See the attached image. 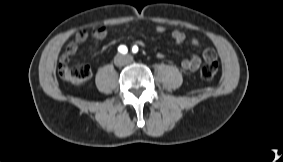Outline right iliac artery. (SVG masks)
I'll use <instances>...</instances> for the list:
<instances>
[{
  "label": "right iliac artery",
  "instance_id": "right-iliac-artery-1",
  "mask_svg": "<svg viewBox=\"0 0 283 162\" xmlns=\"http://www.w3.org/2000/svg\"><path fill=\"white\" fill-rule=\"evenodd\" d=\"M118 51H119L120 53H122V54H126L127 51H128V49H127V47H126L125 45H120V46L118 47Z\"/></svg>",
  "mask_w": 283,
  "mask_h": 162
}]
</instances>
